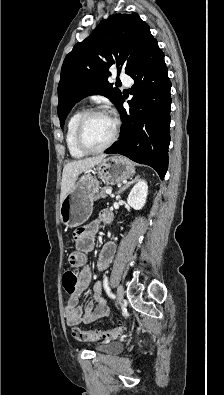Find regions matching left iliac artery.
Here are the masks:
<instances>
[{
  "label": "left iliac artery",
  "mask_w": 224,
  "mask_h": 395,
  "mask_svg": "<svg viewBox=\"0 0 224 395\" xmlns=\"http://www.w3.org/2000/svg\"><path fill=\"white\" fill-rule=\"evenodd\" d=\"M104 289L110 298H115V295L111 292V289L108 285V278L104 279Z\"/></svg>",
  "instance_id": "obj_1"
}]
</instances>
